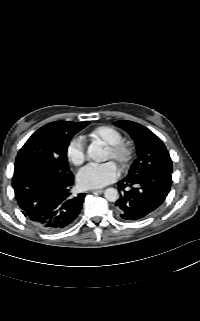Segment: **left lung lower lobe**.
<instances>
[{"label":"left lung lower lobe","instance_id":"0a47b994","mask_svg":"<svg viewBox=\"0 0 200 321\" xmlns=\"http://www.w3.org/2000/svg\"><path fill=\"white\" fill-rule=\"evenodd\" d=\"M172 184L171 172L155 170L127 175L118 182L122 191L115 203V213L121 221L142 219L165 200Z\"/></svg>","mask_w":200,"mask_h":321}]
</instances>
